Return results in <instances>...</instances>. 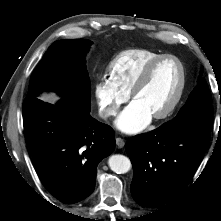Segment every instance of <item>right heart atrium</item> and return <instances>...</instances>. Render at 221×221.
Returning <instances> with one entry per match:
<instances>
[{"label":"right heart atrium","instance_id":"1","mask_svg":"<svg viewBox=\"0 0 221 221\" xmlns=\"http://www.w3.org/2000/svg\"><path fill=\"white\" fill-rule=\"evenodd\" d=\"M94 95L103 118L114 117L129 99V94L117 87L109 78L102 77L94 85Z\"/></svg>","mask_w":221,"mask_h":221}]
</instances>
